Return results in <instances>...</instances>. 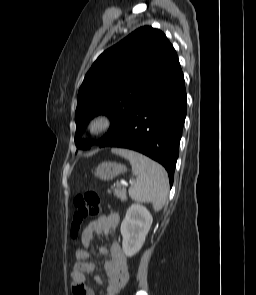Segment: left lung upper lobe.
I'll use <instances>...</instances> for the list:
<instances>
[{"label": "left lung upper lobe", "instance_id": "obj_1", "mask_svg": "<svg viewBox=\"0 0 256 295\" xmlns=\"http://www.w3.org/2000/svg\"><path fill=\"white\" fill-rule=\"evenodd\" d=\"M177 53L165 34L141 27L104 51L94 62L79 89L75 143L87 149L94 142L80 138L90 118L105 114L114 132L148 95L179 67Z\"/></svg>", "mask_w": 256, "mask_h": 295}]
</instances>
